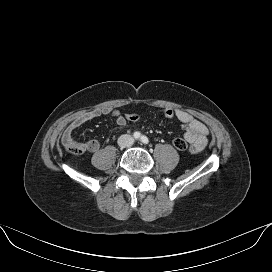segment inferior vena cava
<instances>
[{"label":"inferior vena cava","instance_id":"inferior-vena-cava-1","mask_svg":"<svg viewBox=\"0 0 272 272\" xmlns=\"http://www.w3.org/2000/svg\"><path fill=\"white\" fill-rule=\"evenodd\" d=\"M134 143V139L131 135L123 134L118 138V145L122 148L130 147Z\"/></svg>","mask_w":272,"mask_h":272}]
</instances>
